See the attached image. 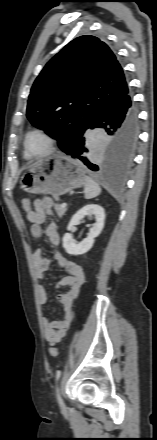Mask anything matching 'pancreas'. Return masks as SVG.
<instances>
[{"label": "pancreas", "instance_id": "pancreas-1", "mask_svg": "<svg viewBox=\"0 0 157 440\" xmlns=\"http://www.w3.org/2000/svg\"><path fill=\"white\" fill-rule=\"evenodd\" d=\"M55 200L58 201L59 198H58V197H55ZM54 208H55V211H56L58 217H60V218L63 217L64 214H65V212L67 211V207H66V206L63 207L62 204H55V205H54Z\"/></svg>", "mask_w": 157, "mask_h": 440}]
</instances>
